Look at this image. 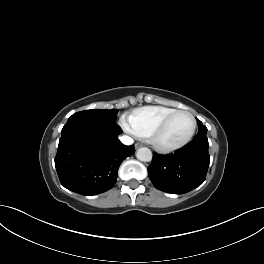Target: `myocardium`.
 <instances>
[{
  "label": "myocardium",
  "mask_w": 264,
  "mask_h": 264,
  "mask_svg": "<svg viewBox=\"0 0 264 264\" xmlns=\"http://www.w3.org/2000/svg\"><path fill=\"white\" fill-rule=\"evenodd\" d=\"M180 113H185L187 115L190 116L191 120H192V129L189 133V135L184 138L183 140L176 142V143H172V144H163L159 141V137L160 135L164 132V130L166 129V127L168 126L169 122L171 121V119ZM196 129H197V120L195 118V116L188 110H184V109H176L173 112H171L170 114H168L155 128L154 130L151 132L150 136H149V141L151 143V145L158 151L160 152H172V151H176L179 150L181 148H183L184 146H186L188 143H190V141L193 139L195 133H196Z\"/></svg>",
  "instance_id": "obj_1"
}]
</instances>
